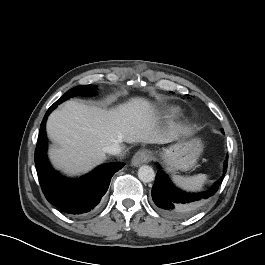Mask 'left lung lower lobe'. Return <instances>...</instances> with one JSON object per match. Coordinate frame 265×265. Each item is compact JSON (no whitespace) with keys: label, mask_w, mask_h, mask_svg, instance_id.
<instances>
[{"label":"left lung lower lobe","mask_w":265,"mask_h":265,"mask_svg":"<svg viewBox=\"0 0 265 265\" xmlns=\"http://www.w3.org/2000/svg\"><path fill=\"white\" fill-rule=\"evenodd\" d=\"M227 164L228 156L224 165V174L227 170ZM158 168L152 188V199L158 210L170 218H185L200 211L217 192L223 178L221 177L216 181L207 191L187 193L176 188L161 167Z\"/></svg>","instance_id":"1"}]
</instances>
